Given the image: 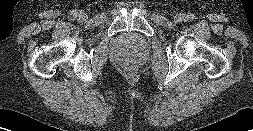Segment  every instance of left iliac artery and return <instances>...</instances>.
<instances>
[{
	"label": "left iliac artery",
	"mask_w": 253,
	"mask_h": 131,
	"mask_svg": "<svg viewBox=\"0 0 253 131\" xmlns=\"http://www.w3.org/2000/svg\"><path fill=\"white\" fill-rule=\"evenodd\" d=\"M194 18H195V15L192 14V13H188L187 16H186V20L192 21Z\"/></svg>",
	"instance_id": "obj_1"
}]
</instances>
